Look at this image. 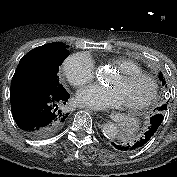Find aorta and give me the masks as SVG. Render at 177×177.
Here are the masks:
<instances>
[{"label": "aorta", "mask_w": 177, "mask_h": 177, "mask_svg": "<svg viewBox=\"0 0 177 177\" xmlns=\"http://www.w3.org/2000/svg\"><path fill=\"white\" fill-rule=\"evenodd\" d=\"M108 75V71L103 68H100L97 72V77L100 80H106ZM102 132L106 138L114 139L117 136L118 128L114 123L108 122L103 125Z\"/></svg>", "instance_id": "obj_1"}]
</instances>
